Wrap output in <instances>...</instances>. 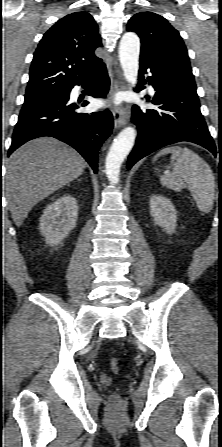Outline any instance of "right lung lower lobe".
Listing matches in <instances>:
<instances>
[{"label": "right lung lower lobe", "instance_id": "1", "mask_svg": "<svg viewBox=\"0 0 222 447\" xmlns=\"http://www.w3.org/2000/svg\"><path fill=\"white\" fill-rule=\"evenodd\" d=\"M77 85L86 87L90 96L104 98L110 85L105 64ZM71 89L57 101L20 113L8 156L31 139L50 136L75 148L97 173L98 150L112 133V114L109 110L77 113L75 110L79 106L69 103ZM87 104L84 101L81 106Z\"/></svg>", "mask_w": 222, "mask_h": 447}]
</instances>
